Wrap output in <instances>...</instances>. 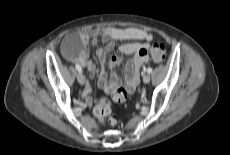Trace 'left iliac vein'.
Returning <instances> with one entry per match:
<instances>
[{
    "label": "left iliac vein",
    "instance_id": "left-iliac-vein-1",
    "mask_svg": "<svg viewBox=\"0 0 230 155\" xmlns=\"http://www.w3.org/2000/svg\"><path fill=\"white\" fill-rule=\"evenodd\" d=\"M149 81H150V75H149V74H145V75L143 76V82H144V83H149Z\"/></svg>",
    "mask_w": 230,
    "mask_h": 155
}]
</instances>
